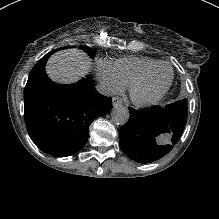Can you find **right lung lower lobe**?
I'll return each instance as SVG.
<instances>
[{"instance_id":"98d812e1","label":"right lung lower lobe","mask_w":219,"mask_h":219,"mask_svg":"<svg viewBox=\"0 0 219 219\" xmlns=\"http://www.w3.org/2000/svg\"><path fill=\"white\" fill-rule=\"evenodd\" d=\"M48 56L33 67L25 86V122L31 139L41 150L63 157L85 145L89 125L105 115L112 104L88 78L70 85L53 83L45 73Z\"/></svg>"}]
</instances>
